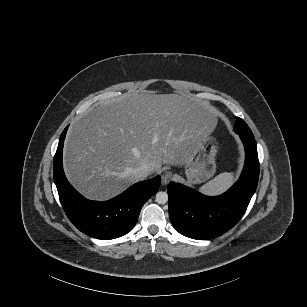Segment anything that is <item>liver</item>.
Masks as SVG:
<instances>
[{
  "instance_id": "obj_1",
  "label": "liver",
  "mask_w": 307,
  "mask_h": 307,
  "mask_svg": "<svg viewBox=\"0 0 307 307\" xmlns=\"http://www.w3.org/2000/svg\"><path fill=\"white\" fill-rule=\"evenodd\" d=\"M212 105L180 94L124 93L99 102L70 127L64 171L85 199L111 200L137 183L133 169L149 175L163 163L182 165L211 116Z\"/></svg>"
}]
</instances>
